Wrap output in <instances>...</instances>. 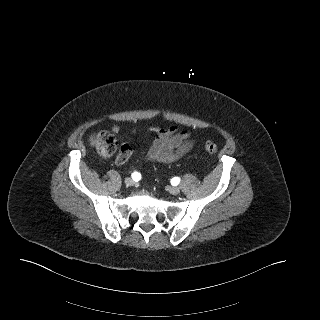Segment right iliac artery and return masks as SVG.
<instances>
[{"label":"right iliac artery","mask_w":320,"mask_h":320,"mask_svg":"<svg viewBox=\"0 0 320 320\" xmlns=\"http://www.w3.org/2000/svg\"><path fill=\"white\" fill-rule=\"evenodd\" d=\"M132 178L134 181H138L140 179V174L138 172H134L132 174Z\"/></svg>","instance_id":"right-iliac-artery-1"}]
</instances>
